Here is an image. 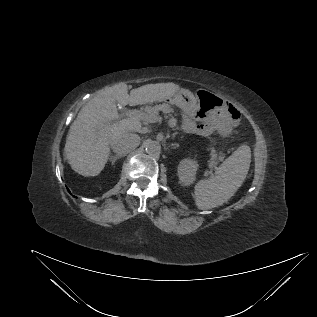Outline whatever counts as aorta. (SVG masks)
<instances>
[{"instance_id": "762f6f07", "label": "aorta", "mask_w": 317, "mask_h": 317, "mask_svg": "<svg viewBox=\"0 0 317 317\" xmlns=\"http://www.w3.org/2000/svg\"><path fill=\"white\" fill-rule=\"evenodd\" d=\"M145 151L151 156H159L161 152L160 142L155 140H147L145 142Z\"/></svg>"}]
</instances>
